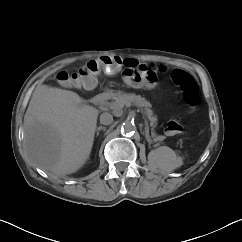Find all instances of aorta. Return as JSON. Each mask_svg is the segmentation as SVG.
<instances>
[{"label":"aorta","mask_w":242,"mask_h":242,"mask_svg":"<svg viewBox=\"0 0 242 242\" xmlns=\"http://www.w3.org/2000/svg\"><path fill=\"white\" fill-rule=\"evenodd\" d=\"M122 131H125L126 133H134L136 131L134 122L126 120L122 125Z\"/></svg>","instance_id":"aorta-1"}]
</instances>
